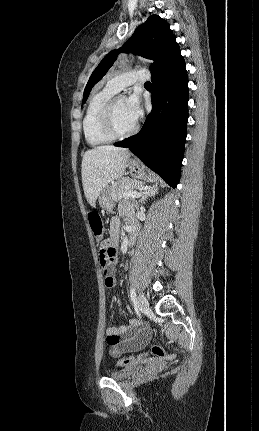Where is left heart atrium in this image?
<instances>
[{
	"label": "left heart atrium",
	"mask_w": 259,
	"mask_h": 431,
	"mask_svg": "<svg viewBox=\"0 0 259 431\" xmlns=\"http://www.w3.org/2000/svg\"><path fill=\"white\" fill-rule=\"evenodd\" d=\"M126 110L130 118L136 123L143 115L142 103L137 92L126 99Z\"/></svg>",
	"instance_id": "left-heart-atrium-1"
}]
</instances>
